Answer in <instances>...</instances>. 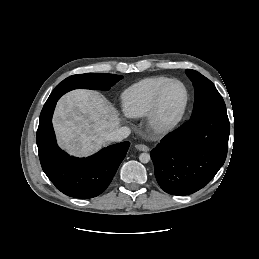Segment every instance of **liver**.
I'll return each instance as SVG.
<instances>
[{
  "mask_svg": "<svg viewBox=\"0 0 259 259\" xmlns=\"http://www.w3.org/2000/svg\"><path fill=\"white\" fill-rule=\"evenodd\" d=\"M113 106L97 91L74 90L57 103L53 126L58 144L70 155L89 156L107 144L106 134L119 128Z\"/></svg>",
  "mask_w": 259,
  "mask_h": 259,
  "instance_id": "6515ba94",
  "label": "liver"
}]
</instances>
